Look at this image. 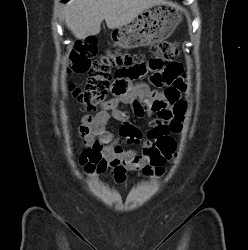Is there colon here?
<instances>
[{
    "label": "colon",
    "mask_w": 248,
    "mask_h": 250,
    "mask_svg": "<svg viewBox=\"0 0 248 250\" xmlns=\"http://www.w3.org/2000/svg\"><path fill=\"white\" fill-rule=\"evenodd\" d=\"M154 57L150 59V67L155 71L151 77L152 84L164 89L163 95L166 104L174 105L177 112L182 111L183 103L180 95L172 88L175 77L168 72L159 71L160 64L165 60L175 59L179 54L178 43L175 41H160L153 45ZM97 54V44L94 40H86L77 43L69 58V73H88L89 80L84 88L72 85L71 92L74 98L88 112L95 111L106 100L111 86V69L120 68L125 70L122 74L131 79L137 78V65L141 64V57L137 54L121 51L119 49L110 50L95 58ZM157 104L150 105L153 109ZM135 112L142 115L143 106L135 103ZM154 152L151 164L145 168L147 173L162 172L164 165L171 161L176 153L175 141L171 133H162L154 139ZM95 157L92 149L82 152V158L86 165Z\"/></svg>",
    "instance_id": "5ec220e1"
}]
</instances>
